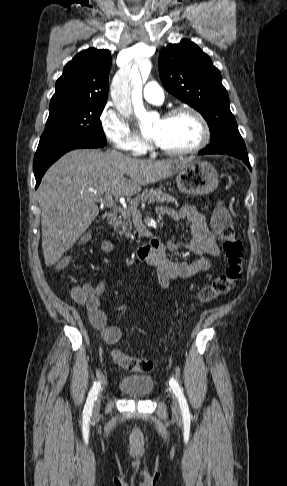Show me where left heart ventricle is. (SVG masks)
Masks as SVG:
<instances>
[{
	"label": "left heart ventricle",
	"instance_id": "b2bd125f",
	"mask_svg": "<svg viewBox=\"0 0 287 486\" xmlns=\"http://www.w3.org/2000/svg\"><path fill=\"white\" fill-rule=\"evenodd\" d=\"M150 137L163 148L181 150L194 146L200 140L201 129L193 116L180 114L155 122Z\"/></svg>",
	"mask_w": 287,
	"mask_h": 486
}]
</instances>
